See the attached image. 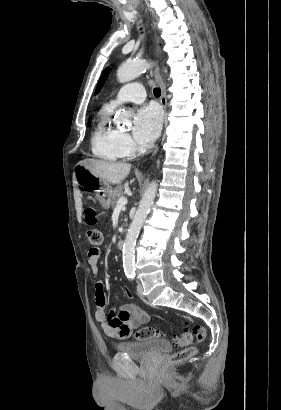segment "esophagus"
Instances as JSON below:
<instances>
[{
	"label": "esophagus",
	"instance_id": "esophagus-1",
	"mask_svg": "<svg viewBox=\"0 0 281 410\" xmlns=\"http://www.w3.org/2000/svg\"><path fill=\"white\" fill-rule=\"evenodd\" d=\"M154 79L155 81L158 83V85L160 86L161 89V97H160V103L163 106L165 112L167 110V98H166V88H165V84L163 82V79L159 73V68L158 66H156L155 70H154ZM158 152V147L156 146L152 152V156H155L156 153Z\"/></svg>",
	"mask_w": 281,
	"mask_h": 410
}]
</instances>
